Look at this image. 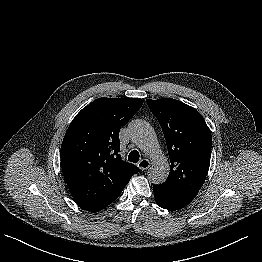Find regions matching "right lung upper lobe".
I'll use <instances>...</instances> for the list:
<instances>
[{
    "label": "right lung upper lobe",
    "instance_id": "right-lung-upper-lobe-1",
    "mask_svg": "<svg viewBox=\"0 0 262 262\" xmlns=\"http://www.w3.org/2000/svg\"><path fill=\"white\" fill-rule=\"evenodd\" d=\"M142 103L139 98L102 97L71 122L61 145V165L69 191L81 208H105L138 173L137 166L121 160L119 131Z\"/></svg>",
    "mask_w": 262,
    "mask_h": 262
}]
</instances>
